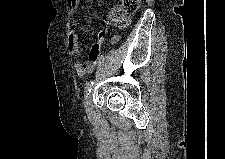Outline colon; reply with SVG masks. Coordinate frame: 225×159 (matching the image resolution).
<instances>
[{
    "label": "colon",
    "instance_id": "5ec220e1",
    "mask_svg": "<svg viewBox=\"0 0 225 159\" xmlns=\"http://www.w3.org/2000/svg\"><path fill=\"white\" fill-rule=\"evenodd\" d=\"M72 5H76L78 0H70ZM140 4V0H122L120 7L110 11L109 18L118 28H123L129 23L130 15L135 12Z\"/></svg>",
    "mask_w": 225,
    "mask_h": 159
}]
</instances>
